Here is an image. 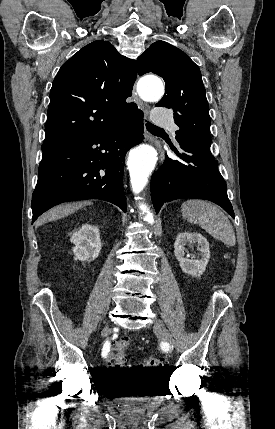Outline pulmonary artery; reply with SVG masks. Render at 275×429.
I'll return each mask as SVG.
<instances>
[{
  "label": "pulmonary artery",
  "instance_id": "obj_1",
  "mask_svg": "<svg viewBox=\"0 0 275 429\" xmlns=\"http://www.w3.org/2000/svg\"><path fill=\"white\" fill-rule=\"evenodd\" d=\"M152 121L158 126L168 127L172 130H176V126L172 117L161 109H155L153 111Z\"/></svg>",
  "mask_w": 275,
  "mask_h": 429
}]
</instances>
